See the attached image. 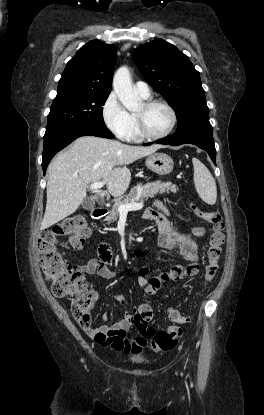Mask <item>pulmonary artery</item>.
Masks as SVG:
<instances>
[{"label": "pulmonary artery", "instance_id": "obj_1", "mask_svg": "<svg viewBox=\"0 0 264 415\" xmlns=\"http://www.w3.org/2000/svg\"><path fill=\"white\" fill-rule=\"evenodd\" d=\"M134 88L137 91V93L144 98H148L151 95V90H150L149 85L143 81L135 82Z\"/></svg>", "mask_w": 264, "mask_h": 415}]
</instances>
